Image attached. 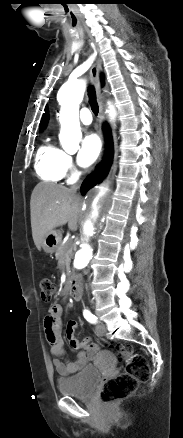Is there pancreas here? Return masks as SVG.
Returning a JSON list of instances; mask_svg holds the SVG:
<instances>
[{
    "label": "pancreas",
    "instance_id": "pancreas-1",
    "mask_svg": "<svg viewBox=\"0 0 183 438\" xmlns=\"http://www.w3.org/2000/svg\"><path fill=\"white\" fill-rule=\"evenodd\" d=\"M56 258L60 264L66 265L69 269L71 258L73 256L71 243L68 241L65 244H60L56 250Z\"/></svg>",
    "mask_w": 183,
    "mask_h": 438
}]
</instances>
